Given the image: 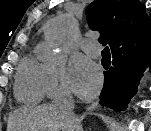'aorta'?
Listing matches in <instances>:
<instances>
[{
	"mask_svg": "<svg viewBox=\"0 0 151 131\" xmlns=\"http://www.w3.org/2000/svg\"><path fill=\"white\" fill-rule=\"evenodd\" d=\"M70 25L71 21L69 19H66L61 22H54L47 29L46 32L47 39L53 45H60L65 40Z\"/></svg>",
	"mask_w": 151,
	"mask_h": 131,
	"instance_id": "1",
	"label": "aorta"
}]
</instances>
